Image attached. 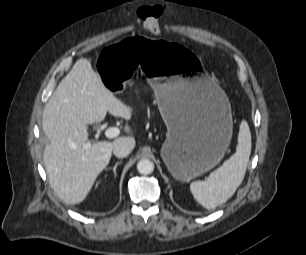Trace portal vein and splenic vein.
Returning <instances> with one entry per match:
<instances>
[{
  "mask_svg": "<svg viewBox=\"0 0 306 255\" xmlns=\"http://www.w3.org/2000/svg\"><path fill=\"white\" fill-rule=\"evenodd\" d=\"M105 136L109 139L115 138L120 134V130L117 127H109L105 130ZM90 147V143H86L83 148L88 149Z\"/></svg>",
  "mask_w": 306,
  "mask_h": 255,
  "instance_id": "obj_1",
  "label": "portal vein and splenic vein"
}]
</instances>
